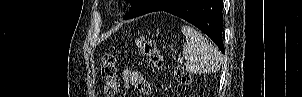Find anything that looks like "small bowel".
Masks as SVG:
<instances>
[{"label": "small bowel", "mask_w": 302, "mask_h": 97, "mask_svg": "<svg viewBox=\"0 0 302 97\" xmlns=\"http://www.w3.org/2000/svg\"><path fill=\"white\" fill-rule=\"evenodd\" d=\"M122 81L126 89L134 86L141 97L146 96L149 92V84L140 71L124 69Z\"/></svg>", "instance_id": "small-bowel-1"}]
</instances>
